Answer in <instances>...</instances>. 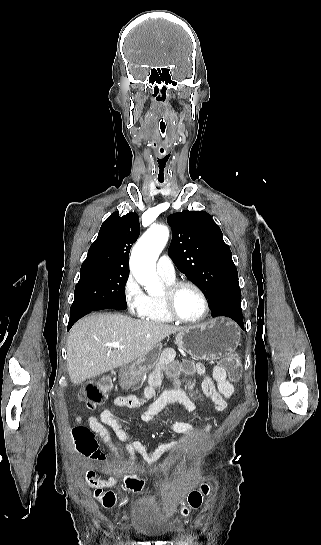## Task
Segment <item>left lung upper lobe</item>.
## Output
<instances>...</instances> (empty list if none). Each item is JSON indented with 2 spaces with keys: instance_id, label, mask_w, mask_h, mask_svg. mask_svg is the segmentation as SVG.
Returning a JSON list of instances; mask_svg holds the SVG:
<instances>
[{
  "instance_id": "1",
  "label": "left lung upper lobe",
  "mask_w": 321,
  "mask_h": 545,
  "mask_svg": "<svg viewBox=\"0 0 321 545\" xmlns=\"http://www.w3.org/2000/svg\"><path fill=\"white\" fill-rule=\"evenodd\" d=\"M211 218L205 211L184 210L167 219L172 228L169 255L176 267L202 290L210 306L241 292L231 250Z\"/></svg>"
}]
</instances>
